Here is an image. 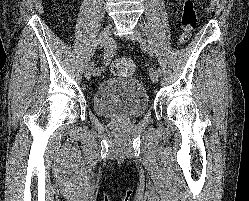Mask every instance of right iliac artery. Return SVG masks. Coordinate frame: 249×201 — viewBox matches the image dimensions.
Segmentation results:
<instances>
[{
    "label": "right iliac artery",
    "instance_id": "82829eb1",
    "mask_svg": "<svg viewBox=\"0 0 249 201\" xmlns=\"http://www.w3.org/2000/svg\"><path fill=\"white\" fill-rule=\"evenodd\" d=\"M112 50H113V49H112L111 46H109V45L104 46V60H105L104 63L107 64L108 61L110 60L111 55H112ZM102 70H103V67H101V68H95V69L93 70V75H94V76L100 75L101 72H102Z\"/></svg>",
    "mask_w": 249,
    "mask_h": 201
}]
</instances>
